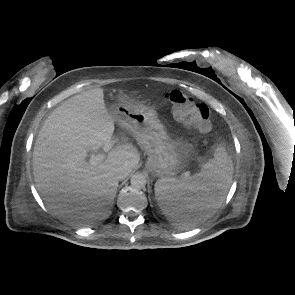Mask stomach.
Returning <instances> with one entry per match:
<instances>
[{
	"label": "stomach",
	"mask_w": 295,
	"mask_h": 295,
	"mask_svg": "<svg viewBox=\"0 0 295 295\" xmlns=\"http://www.w3.org/2000/svg\"><path fill=\"white\" fill-rule=\"evenodd\" d=\"M115 121L130 130L146 149V168L159 177L175 174L182 162V143L169 137L157 112L146 105L120 101L109 109ZM163 213L166 208L159 204Z\"/></svg>",
	"instance_id": "stomach-1"
}]
</instances>
